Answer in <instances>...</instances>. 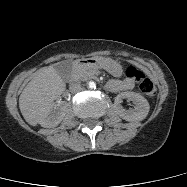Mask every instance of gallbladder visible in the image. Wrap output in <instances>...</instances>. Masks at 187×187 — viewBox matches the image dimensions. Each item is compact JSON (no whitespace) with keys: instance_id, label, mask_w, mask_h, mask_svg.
<instances>
[{"instance_id":"obj_1","label":"gallbladder","mask_w":187,"mask_h":187,"mask_svg":"<svg viewBox=\"0 0 187 187\" xmlns=\"http://www.w3.org/2000/svg\"><path fill=\"white\" fill-rule=\"evenodd\" d=\"M55 69L62 79H67L72 70V62L71 61H62L55 64Z\"/></svg>"}]
</instances>
